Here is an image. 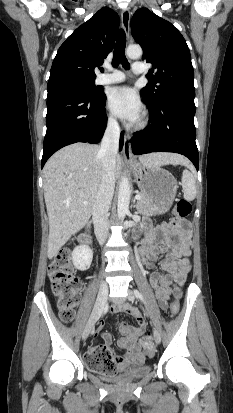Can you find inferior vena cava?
<instances>
[{"instance_id":"obj_1","label":"inferior vena cava","mask_w":233,"mask_h":413,"mask_svg":"<svg viewBox=\"0 0 233 413\" xmlns=\"http://www.w3.org/2000/svg\"><path fill=\"white\" fill-rule=\"evenodd\" d=\"M120 130L116 119L110 118L102 138L99 156L102 158L101 184L92 210L94 231L100 245L108 236V211L115 188V163Z\"/></svg>"}]
</instances>
